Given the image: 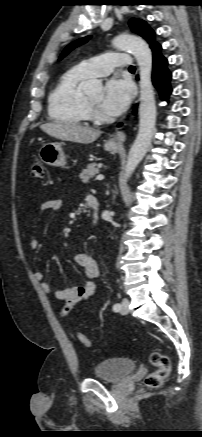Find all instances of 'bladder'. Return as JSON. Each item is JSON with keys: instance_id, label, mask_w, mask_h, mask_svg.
Masks as SVG:
<instances>
[{"instance_id": "bladder-1", "label": "bladder", "mask_w": 202, "mask_h": 437, "mask_svg": "<svg viewBox=\"0 0 202 437\" xmlns=\"http://www.w3.org/2000/svg\"><path fill=\"white\" fill-rule=\"evenodd\" d=\"M136 363L127 357L111 358L99 362L93 369L97 379L108 382H119L134 372Z\"/></svg>"}]
</instances>
